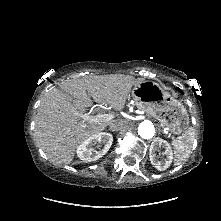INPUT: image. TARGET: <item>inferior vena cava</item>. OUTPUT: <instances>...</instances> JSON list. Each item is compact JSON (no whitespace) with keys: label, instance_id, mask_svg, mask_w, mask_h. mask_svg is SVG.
<instances>
[{"label":"inferior vena cava","instance_id":"obj_1","mask_svg":"<svg viewBox=\"0 0 221 221\" xmlns=\"http://www.w3.org/2000/svg\"><path fill=\"white\" fill-rule=\"evenodd\" d=\"M127 126L126 121H116L109 125L110 129H122Z\"/></svg>","mask_w":221,"mask_h":221}]
</instances>
